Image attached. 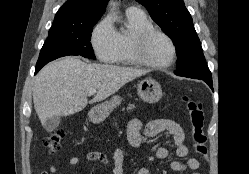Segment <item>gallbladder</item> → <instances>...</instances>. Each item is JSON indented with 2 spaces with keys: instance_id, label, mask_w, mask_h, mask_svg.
<instances>
[{
  "instance_id": "bac80fb5",
  "label": "gallbladder",
  "mask_w": 249,
  "mask_h": 174,
  "mask_svg": "<svg viewBox=\"0 0 249 174\" xmlns=\"http://www.w3.org/2000/svg\"><path fill=\"white\" fill-rule=\"evenodd\" d=\"M60 124V116H53L45 121L43 124L44 128L48 131L51 132L55 130Z\"/></svg>"
}]
</instances>
